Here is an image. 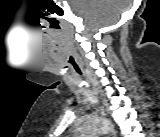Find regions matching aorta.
Segmentation results:
<instances>
[{
  "mask_svg": "<svg viewBox=\"0 0 160 137\" xmlns=\"http://www.w3.org/2000/svg\"><path fill=\"white\" fill-rule=\"evenodd\" d=\"M109 131H113V128L110 127L108 124H106L104 122H101V123L98 124L97 132H99V133H107Z\"/></svg>",
  "mask_w": 160,
  "mask_h": 137,
  "instance_id": "aorta-1",
  "label": "aorta"
}]
</instances>
